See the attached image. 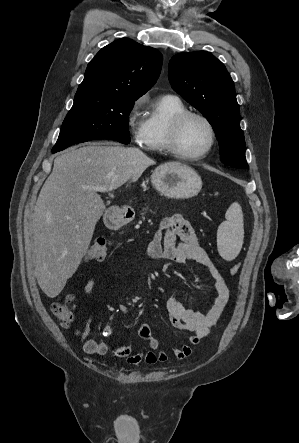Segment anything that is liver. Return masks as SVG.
I'll return each instance as SVG.
<instances>
[{"label":"liver","instance_id":"1","mask_svg":"<svg viewBox=\"0 0 299 443\" xmlns=\"http://www.w3.org/2000/svg\"><path fill=\"white\" fill-rule=\"evenodd\" d=\"M154 164L138 148L99 144L71 148L54 160L32 221L35 276L48 297L58 296L77 270L106 209L91 188L116 189Z\"/></svg>","mask_w":299,"mask_h":443}]
</instances>
